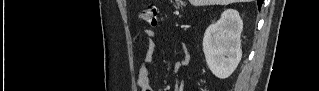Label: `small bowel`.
<instances>
[{
  "label": "small bowel",
  "mask_w": 319,
  "mask_h": 91,
  "mask_svg": "<svg viewBox=\"0 0 319 91\" xmlns=\"http://www.w3.org/2000/svg\"><path fill=\"white\" fill-rule=\"evenodd\" d=\"M144 38L146 41V55L141 63V66L138 70L136 84L141 89V91H155L151 82V73H150V64L153 61L155 52H156V44H155V32L153 30H145ZM181 51L183 53V57L174 63L173 65V73L177 74L178 71L187 66L189 63V52L186 45H181ZM176 91L184 90V80L176 78Z\"/></svg>",
  "instance_id": "c3829d8e"
}]
</instances>
